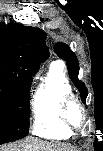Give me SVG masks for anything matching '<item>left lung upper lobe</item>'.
<instances>
[{"instance_id":"obj_1","label":"left lung upper lobe","mask_w":103,"mask_h":151,"mask_svg":"<svg viewBox=\"0 0 103 151\" xmlns=\"http://www.w3.org/2000/svg\"><path fill=\"white\" fill-rule=\"evenodd\" d=\"M55 52L59 57L66 61L70 78L76 88H78V90L80 91L81 99L85 103L88 90L85 84L78 79L79 63L76 55L70 50V48L66 44L61 42L55 44Z\"/></svg>"}]
</instances>
